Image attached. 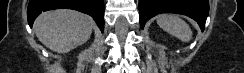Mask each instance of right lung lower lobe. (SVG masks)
<instances>
[{
  "mask_svg": "<svg viewBox=\"0 0 244 73\" xmlns=\"http://www.w3.org/2000/svg\"><path fill=\"white\" fill-rule=\"evenodd\" d=\"M58 8L74 9L93 17L101 32L104 30V0H30L27 18L32 27L36 17L42 12Z\"/></svg>",
  "mask_w": 244,
  "mask_h": 73,
  "instance_id": "obj_1",
  "label": "right lung lower lobe"
}]
</instances>
